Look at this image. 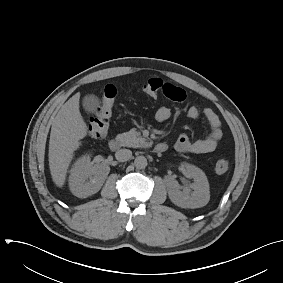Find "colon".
Listing matches in <instances>:
<instances>
[{"label": "colon", "instance_id": "obj_1", "mask_svg": "<svg viewBox=\"0 0 283 283\" xmlns=\"http://www.w3.org/2000/svg\"><path fill=\"white\" fill-rule=\"evenodd\" d=\"M163 81L159 78L147 80L143 86V91L155 96L161 92ZM117 95V89L114 85H107L100 98L99 108L95 116L91 117L88 123L89 134L94 138H102L107 134L110 126L114 101ZM230 168V162L226 158L219 159L215 164V172L224 174Z\"/></svg>", "mask_w": 283, "mask_h": 283}]
</instances>
